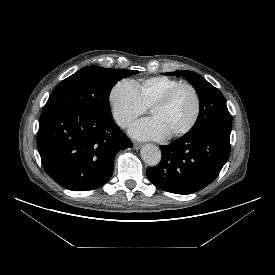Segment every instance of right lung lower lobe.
Instances as JSON below:
<instances>
[{
    "mask_svg": "<svg viewBox=\"0 0 275 275\" xmlns=\"http://www.w3.org/2000/svg\"><path fill=\"white\" fill-rule=\"evenodd\" d=\"M37 145L47 174L62 187L87 191L108 182L118 151L132 142L112 118L72 107L42 111Z\"/></svg>",
    "mask_w": 275,
    "mask_h": 275,
    "instance_id": "98d812e1",
    "label": "right lung lower lobe"
}]
</instances>
